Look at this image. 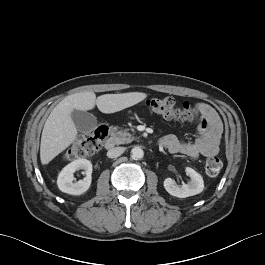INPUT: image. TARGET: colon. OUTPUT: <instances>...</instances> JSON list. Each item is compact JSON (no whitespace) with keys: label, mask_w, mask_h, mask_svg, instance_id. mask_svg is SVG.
<instances>
[{"label":"colon","mask_w":265,"mask_h":265,"mask_svg":"<svg viewBox=\"0 0 265 265\" xmlns=\"http://www.w3.org/2000/svg\"><path fill=\"white\" fill-rule=\"evenodd\" d=\"M146 105L150 111L165 118L193 121L199 115L196 108L188 102L178 104L171 97L151 98L146 102ZM108 133L109 129L106 125H99L91 133L78 138L67 150V157L76 159L93 155L100 149ZM221 169L222 162L217 155L207 157L205 162L207 175L215 177L220 173Z\"/></svg>","instance_id":"colon-1"}]
</instances>
